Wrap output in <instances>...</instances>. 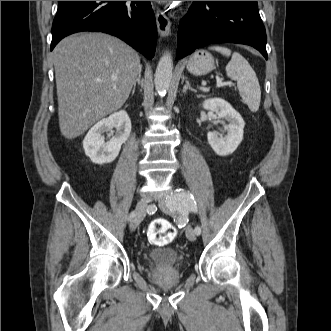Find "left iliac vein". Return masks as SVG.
Returning <instances> with one entry per match:
<instances>
[{
	"label": "left iliac vein",
	"instance_id": "left-iliac-vein-1",
	"mask_svg": "<svg viewBox=\"0 0 331 331\" xmlns=\"http://www.w3.org/2000/svg\"><path fill=\"white\" fill-rule=\"evenodd\" d=\"M161 207L163 209H166V204L164 201L161 202ZM186 237L188 238V240L190 241H195L196 240V233H195V230L190 226L188 225L186 227Z\"/></svg>",
	"mask_w": 331,
	"mask_h": 331
}]
</instances>
